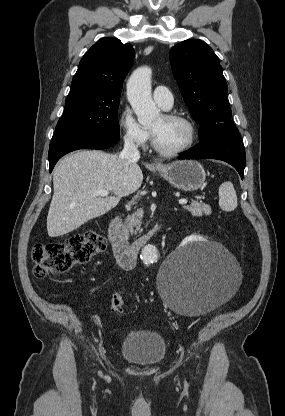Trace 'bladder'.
<instances>
[{
	"mask_svg": "<svg viewBox=\"0 0 285 416\" xmlns=\"http://www.w3.org/2000/svg\"><path fill=\"white\" fill-rule=\"evenodd\" d=\"M120 354L132 362L155 363L166 354V344L161 334L153 330H133L125 335Z\"/></svg>",
	"mask_w": 285,
	"mask_h": 416,
	"instance_id": "1",
	"label": "bladder"
}]
</instances>
